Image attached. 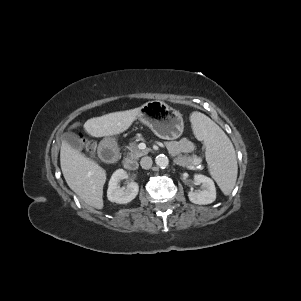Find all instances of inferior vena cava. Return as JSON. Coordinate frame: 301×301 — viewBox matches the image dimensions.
Wrapping results in <instances>:
<instances>
[{"instance_id": "602c4592", "label": "inferior vena cava", "mask_w": 301, "mask_h": 301, "mask_svg": "<svg viewBox=\"0 0 301 301\" xmlns=\"http://www.w3.org/2000/svg\"><path fill=\"white\" fill-rule=\"evenodd\" d=\"M152 159L149 156H145L141 159L140 165L143 169H150L152 166Z\"/></svg>"}]
</instances>
